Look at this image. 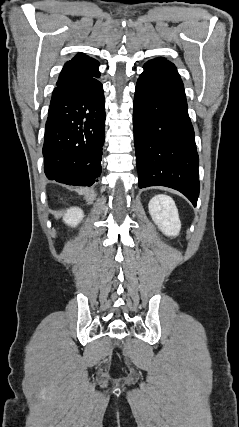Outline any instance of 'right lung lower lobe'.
<instances>
[{
    "label": "right lung lower lobe",
    "instance_id": "obj_1",
    "mask_svg": "<svg viewBox=\"0 0 239 427\" xmlns=\"http://www.w3.org/2000/svg\"><path fill=\"white\" fill-rule=\"evenodd\" d=\"M99 75L57 83L52 93L43 146L49 180L91 186L101 173L105 101Z\"/></svg>",
    "mask_w": 239,
    "mask_h": 427
}]
</instances>
